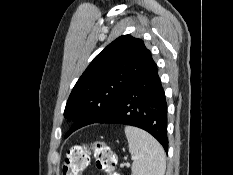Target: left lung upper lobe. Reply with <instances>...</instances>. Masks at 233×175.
<instances>
[{"mask_svg":"<svg viewBox=\"0 0 233 175\" xmlns=\"http://www.w3.org/2000/svg\"><path fill=\"white\" fill-rule=\"evenodd\" d=\"M152 61L144 42L130 35L121 36L104 48L79 78L67 100L64 116L75 122L66 137L106 114Z\"/></svg>","mask_w":233,"mask_h":175,"instance_id":"left-lung-upper-lobe-1","label":"left lung upper lobe"}]
</instances>
